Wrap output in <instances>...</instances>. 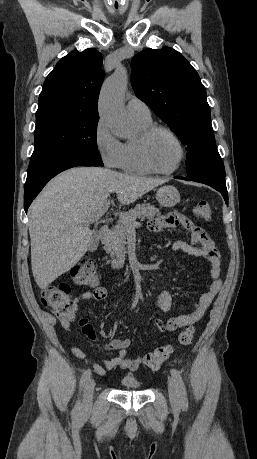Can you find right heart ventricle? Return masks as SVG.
<instances>
[{
    "label": "right heart ventricle",
    "instance_id": "1",
    "mask_svg": "<svg viewBox=\"0 0 257 459\" xmlns=\"http://www.w3.org/2000/svg\"><path fill=\"white\" fill-rule=\"evenodd\" d=\"M132 118L140 132L152 124L151 119L144 120L134 117ZM119 168L125 172L140 175L149 174L152 172L143 164L140 158L138 150V138L129 139L123 143V153Z\"/></svg>",
    "mask_w": 257,
    "mask_h": 459
}]
</instances>
